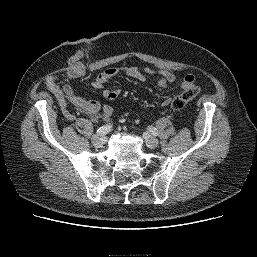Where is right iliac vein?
Masks as SVG:
<instances>
[{"label": "right iliac vein", "instance_id": "obj_1", "mask_svg": "<svg viewBox=\"0 0 257 257\" xmlns=\"http://www.w3.org/2000/svg\"><path fill=\"white\" fill-rule=\"evenodd\" d=\"M105 143V139L99 135H95L92 137V144L97 147L100 148L103 146V144Z\"/></svg>", "mask_w": 257, "mask_h": 257}]
</instances>
